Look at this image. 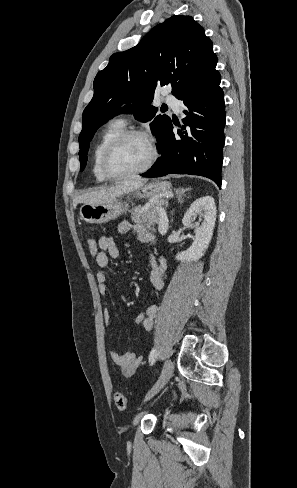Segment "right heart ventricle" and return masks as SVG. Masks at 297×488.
Instances as JSON below:
<instances>
[{
  "label": "right heart ventricle",
  "instance_id": "e07e8e85",
  "mask_svg": "<svg viewBox=\"0 0 297 488\" xmlns=\"http://www.w3.org/2000/svg\"><path fill=\"white\" fill-rule=\"evenodd\" d=\"M126 124L120 120L115 119L111 121L98 136L97 142L93 148L92 155V171L94 178L98 182H105L108 178L103 174L101 169V158L106 146L120 133L125 130Z\"/></svg>",
  "mask_w": 297,
  "mask_h": 488
}]
</instances>
